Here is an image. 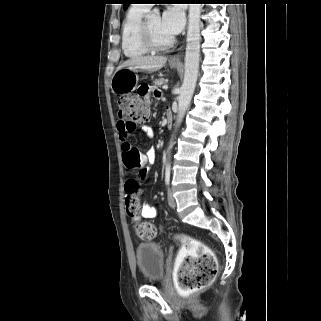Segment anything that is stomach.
<instances>
[{
    "instance_id": "0dacf381",
    "label": "stomach",
    "mask_w": 321,
    "mask_h": 321,
    "mask_svg": "<svg viewBox=\"0 0 321 321\" xmlns=\"http://www.w3.org/2000/svg\"><path fill=\"white\" fill-rule=\"evenodd\" d=\"M177 65V63H170L171 68ZM138 80L136 69L122 68L114 73L111 79V89L117 95H126L136 89Z\"/></svg>"
}]
</instances>
